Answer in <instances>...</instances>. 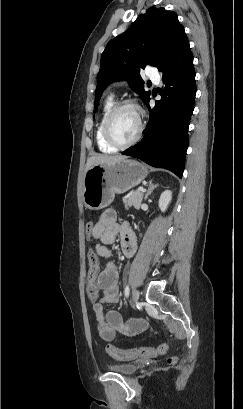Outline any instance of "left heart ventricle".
<instances>
[{"instance_id":"obj_1","label":"left heart ventricle","mask_w":243,"mask_h":409,"mask_svg":"<svg viewBox=\"0 0 243 409\" xmlns=\"http://www.w3.org/2000/svg\"><path fill=\"white\" fill-rule=\"evenodd\" d=\"M138 128V114L130 107L121 109L111 124L113 136L121 142L131 140L137 134Z\"/></svg>"}]
</instances>
